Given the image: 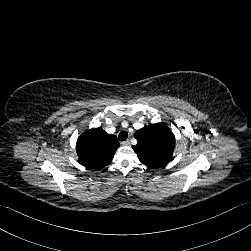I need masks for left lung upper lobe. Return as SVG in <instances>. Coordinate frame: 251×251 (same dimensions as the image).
<instances>
[{
	"mask_svg": "<svg viewBox=\"0 0 251 251\" xmlns=\"http://www.w3.org/2000/svg\"><path fill=\"white\" fill-rule=\"evenodd\" d=\"M138 143L132 146L141 163L161 168L173 160L174 134L165 124H150L135 132Z\"/></svg>",
	"mask_w": 251,
	"mask_h": 251,
	"instance_id": "obj_1",
	"label": "left lung upper lobe"
}]
</instances>
